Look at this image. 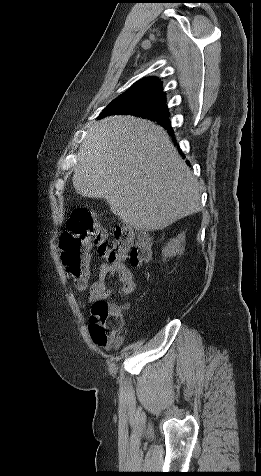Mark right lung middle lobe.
<instances>
[{"mask_svg":"<svg viewBox=\"0 0 261 476\" xmlns=\"http://www.w3.org/2000/svg\"><path fill=\"white\" fill-rule=\"evenodd\" d=\"M114 114H131L157 121L160 125L169 123L166 104L157 101L122 102L117 98L102 111L99 118Z\"/></svg>","mask_w":261,"mask_h":476,"instance_id":"dd1d6c3e","label":"right lung middle lobe"}]
</instances>
